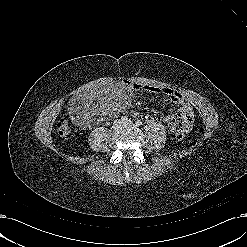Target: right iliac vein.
I'll return each instance as SVG.
<instances>
[{
    "label": "right iliac vein",
    "instance_id": "1",
    "mask_svg": "<svg viewBox=\"0 0 247 247\" xmlns=\"http://www.w3.org/2000/svg\"><path fill=\"white\" fill-rule=\"evenodd\" d=\"M121 125H122V122H121V121H116V122L114 123V128H115V129H118Z\"/></svg>",
    "mask_w": 247,
    "mask_h": 247
}]
</instances>
